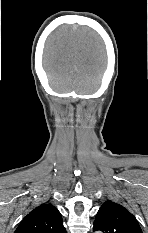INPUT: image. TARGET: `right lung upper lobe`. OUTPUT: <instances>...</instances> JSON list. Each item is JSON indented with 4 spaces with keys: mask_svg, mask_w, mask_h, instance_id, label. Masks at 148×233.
Here are the masks:
<instances>
[{
    "mask_svg": "<svg viewBox=\"0 0 148 233\" xmlns=\"http://www.w3.org/2000/svg\"><path fill=\"white\" fill-rule=\"evenodd\" d=\"M14 233H67L61 213L51 204H42L22 220Z\"/></svg>",
    "mask_w": 148,
    "mask_h": 233,
    "instance_id": "cb5924a9",
    "label": "right lung upper lobe"
}]
</instances>
